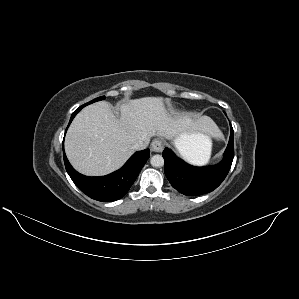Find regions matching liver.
Returning a JSON list of instances; mask_svg holds the SVG:
<instances>
[{"instance_id":"1","label":"liver","mask_w":299,"mask_h":299,"mask_svg":"<svg viewBox=\"0 0 299 299\" xmlns=\"http://www.w3.org/2000/svg\"><path fill=\"white\" fill-rule=\"evenodd\" d=\"M116 118L107 102L85 107L71 123L65 138V152L72 166L89 176H101L119 169L133 154V145L152 136L174 139L189 128L220 136L215 124L190 121L170 113L162 97H143L120 106Z\"/></svg>"}]
</instances>
